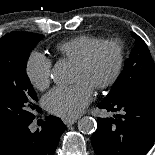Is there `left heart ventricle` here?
<instances>
[{
	"mask_svg": "<svg viewBox=\"0 0 155 155\" xmlns=\"http://www.w3.org/2000/svg\"><path fill=\"white\" fill-rule=\"evenodd\" d=\"M117 61V51L112 46L101 48L92 63L85 69L74 67L73 81H83L90 87L107 79L113 72Z\"/></svg>",
	"mask_w": 155,
	"mask_h": 155,
	"instance_id": "obj_1",
	"label": "left heart ventricle"
}]
</instances>
